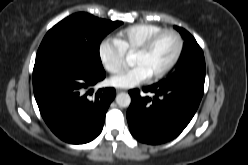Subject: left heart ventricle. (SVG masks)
Segmentation results:
<instances>
[{
  "label": "left heart ventricle",
  "mask_w": 248,
  "mask_h": 165,
  "mask_svg": "<svg viewBox=\"0 0 248 165\" xmlns=\"http://www.w3.org/2000/svg\"><path fill=\"white\" fill-rule=\"evenodd\" d=\"M177 41L171 34L163 36L153 48L145 53H135L132 59L133 65H143L150 76L163 69L175 54Z\"/></svg>",
  "instance_id": "b2bd125f"
}]
</instances>
